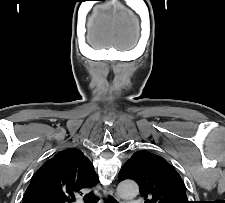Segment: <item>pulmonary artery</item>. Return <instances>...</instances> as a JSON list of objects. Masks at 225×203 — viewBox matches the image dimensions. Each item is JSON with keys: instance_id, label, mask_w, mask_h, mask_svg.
Segmentation results:
<instances>
[{"instance_id": "1", "label": "pulmonary artery", "mask_w": 225, "mask_h": 203, "mask_svg": "<svg viewBox=\"0 0 225 203\" xmlns=\"http://www.w3.org/2000/svg\"><path fill=\"white\" fill-rule=\"evenodd\" d=\"M127 203H142V200H129Z\"/></svg>"}]
</instances>
